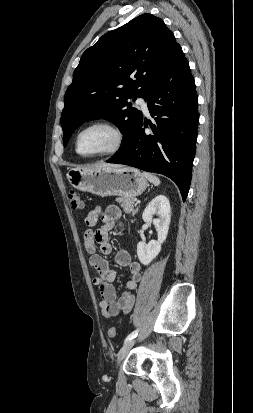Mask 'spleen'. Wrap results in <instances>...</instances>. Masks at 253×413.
<instances>
[{"instance_id": "obj_1", "label": "spleen", "mask_w": 253, "mask_h": 413, "mask_svg": "<svg viewBox=\"0 0 253 413\" xmlns=\"http://www.w3.org/2000/svg\"><path fill=\"white\" fill-rule=\"evenodd\" d=\"M143 175L148 181H150L155 186H158L160 184V180L157 176L147 173V172H144Z\"/></svg>"}]
</instances>
